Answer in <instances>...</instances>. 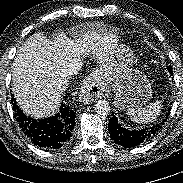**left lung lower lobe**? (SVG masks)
<instances>
[{"mask_svg": "<svg viewBox=\"0 0 183 183\" xmlns=\"http://www.w3.org/2000/svg\"><path fill=\"white\" fill-rule=\"evenodd\" d=\"M169 72L172 74L171 66H168ZM170 109L166 115V118L169 116ZM113 115V114H112ZM161 128V124L153 125L150 128L141 129V130H128L122 127L117 118L113 115L109 120L108 129L111 138L117 143L125 148L135 147L143 142L152 138L158 130Z\"/></svg>", "mask_w": 183, "mask_h": 183, "instance_id": "0a47b994", "label": "left lung lower lobe"}]
</instances>
